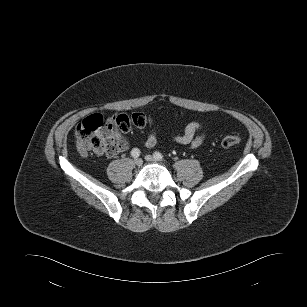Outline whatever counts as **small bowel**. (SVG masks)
Instances as JSON below:
<instances>
[{
  "label": "small bowel",
  "instance_id": "c3829d8e",
  "mask_svg": "<svg viewBox=\"0 0 307 307\" xmlns=\"http://www.w3.org/2000/svg\"><path fill=\"white\" fill-rule=\"evenodd\" d=\"M201 128V123L192 121L187 124L182 134L174 137V141L192 149L197 148L204 141V135L198 133ZM106 134L108 140V151L100 153H105L107 156L112 157L127 149V140L114 127L108 128ZM156 141L155 132L150 131L144 139V144L147 147H153L156 144Z\"/></svg>",
  "mask_w": 307,
  "mask_h": 307
}]
</instances>
